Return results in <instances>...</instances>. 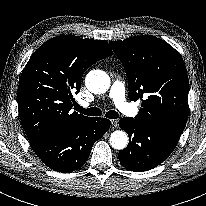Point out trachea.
Here are the masks:
<instances>
[{"instance_id":"obj_1","label":"trachea","mask_w":206,"mask_h":206,"mask_svg":"<svg viewBox=\"0 0 206 206\" xmlns=\"http://www.w3.org/2000/svg\"><path fill=\"white\" fill-rule=\"evenodd\" d=\"M76 110L84 115H88V116H101L102 112L99 108L97 107H91V108H82L79 105L75 106ZM118 113L114 110H110L108 112H106L105 117L109 118V119H117L118 118Z\"/></svg>"}]
</instances>
